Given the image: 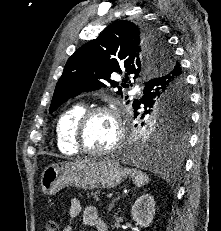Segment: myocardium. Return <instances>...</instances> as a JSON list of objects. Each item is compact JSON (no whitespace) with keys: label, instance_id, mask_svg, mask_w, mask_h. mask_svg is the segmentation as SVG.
<instances>
[{"label":"myocardium","instance_id":"f54148a6","mask_svg":"<svg viewBox=\"0 0 221 231\" xmlns=\"http://www.w3.org/2000/svg\"><path fill=\"white\" fill-rule=\"evenodd\" d=\"M99 113H105L111 116L116 127V140L111 147L102 151H92L86 148L84 143V131L88 120ZM125 136V128L122 122L119 110L113 105H99L86 109L77 119L74 125L73 143L77 150L83 154L93 157H104L118 150Z\"/></svg>","mask_w":221,"mask_h":231}]
</instances>
